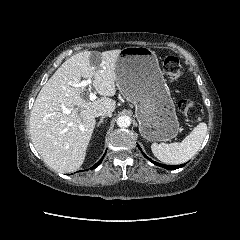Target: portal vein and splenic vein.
I'll use <instances>...</instances> for the list:
<instances>
[{"mask_svg": "<svg viewBox=\"0 0 240 240\" xmlns=\"http://www.w3.org/2000/svg\"><path fill=\"white\" fill-rule=\"evenodd\" d=\"M91 83H92V80L91 79H87V80H83L81 81L79 84H76L75 86L76 87H81V88H85V87H90L91 86ZM96 94L93 93V92H90L89 93V99L91 101H94L96 99Z\"/></svg>", "mask_w": 240, "mask_h": 240, "instance_id": "1", "label": "portal vein and splenic vein"}]
</instances>
